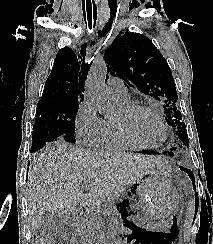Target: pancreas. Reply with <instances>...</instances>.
<instances>
[{
    "label": "pancreas",
    "instance_id": "1",
    "mask_svg": "<svg viewBox=\"0 0 213 244\" xmlns=\"http://www.w3.org/2000/svg\"><path fill=\"white\" fill-rule=\"evenodd\" d=\"M78 233L84 242L82 244H89V242L95 240L98 232L94 219L88 218L82 221L79 225Z\"/></svg>",
    "mask_w": 213,
    "mask_h": 244
}]
</instances>
